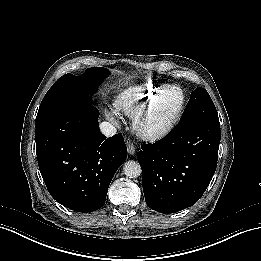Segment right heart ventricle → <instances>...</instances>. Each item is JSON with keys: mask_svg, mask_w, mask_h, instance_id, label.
Masks as SVG:
<instances>
[{"mask_svg": "<svg viewBox=\"0 0 261 261\" xmlns=\"http://www.w3.org/2000/svg\"><path fill=\"white\" fill-rule=\"evenodd\" d=\"M138 101V99L133 98H127L119 102L117 108L119 111L124 113H131L135 109V103Z\"/></svg>", "mask_w": 261, "mask_h": 261, "instance_id": "obj_1", "label": "right heart ventricle"}]
</instances>
